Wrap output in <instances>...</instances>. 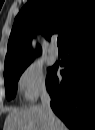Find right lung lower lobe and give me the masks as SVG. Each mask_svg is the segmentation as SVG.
<instances>
[{
    "instance_id": "right-lung-lower-lobe-1",
    "label": "right lung lower lobe",
    "mask_w": 95,
    "mask_h": 130,
    "mask_svg": "<svg viewBox=\"0 0 95 130\" xmlns=\"http://www.w3.org/2000/svg\"><path fill=\"white\" fill-rule=\"evenodd\" d=\"M65 58L47 78L54 113L72 130L93 129L95 123V29L64 45Z\"/></svg>"
}]
</instances>
